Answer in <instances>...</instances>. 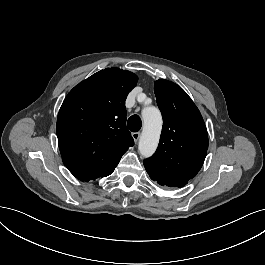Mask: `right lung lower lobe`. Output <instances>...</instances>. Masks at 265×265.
I'll return each mask as SVG.
<instances>
[{
  "label": "right lung lower lobe",
  "instance_id": "obj_1",
  "mask_svg": "<svg viewBox=\"0 0 265 265\" xmlns=\"http://www.w3.org/2000/svg\"><path fill=\"white\" fill-rule=\"evenodd\" d=\"M68 170L81 181H90L110 175L113 170L87 169L78 167H67Z\"/></svg>",
  "mask_w": 265,
  "mask_h": 265
}]
</instances>
